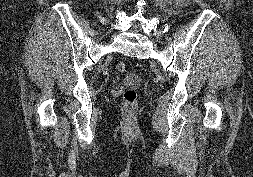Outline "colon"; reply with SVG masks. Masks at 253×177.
<instances>
[{"label": "colon", "mask_w": 253, "mask_h": 177, "mask_svg": "<svg viewBox=\"0 0 253 177\" xmlns=\"http://www.w3.org/2000/svg\"><path fill=\"white\" fill-rule=\"evenodd\" d=\"M118 72H125L127 67L124 62H118L116 64ZM124 106L127 110L133 111L137 104V91L134 88H127L123 93Z\"/></svg>", "instance_id": "colon-1"}]
</instances>
